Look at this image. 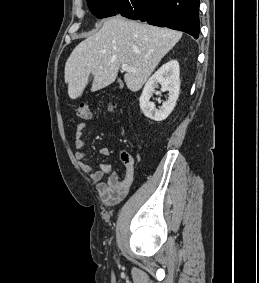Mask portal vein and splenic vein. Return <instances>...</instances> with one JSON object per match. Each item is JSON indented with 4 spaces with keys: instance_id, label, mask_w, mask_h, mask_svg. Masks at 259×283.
Instances as JSON below:
<instances>
[{
    "instance_id": "portal-vein-and-splenic-vein-1",
    "label": "portal vein and splenic vein",
    "mask_w": 259,
    "mask_h": 283,
    "mask_svg": "<svg viewBox=\"0 0 259 283\" xmlns=\"http://www.w3.org/2000/svg\"><path fill=\"white\" fill-rule=\"evenodd\" d=\"M121 68H122L123 71H127V72H135V71H136V69L130 67V66L127 65V64H123V65L121 66Z\"/></svg>"
}]
</instances>
